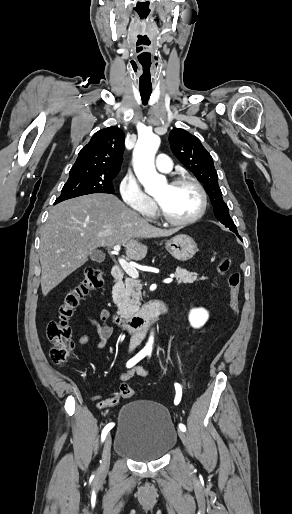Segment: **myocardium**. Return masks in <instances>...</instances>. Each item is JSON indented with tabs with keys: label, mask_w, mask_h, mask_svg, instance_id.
Masks as SVG:
<instances>
[{
	"label": "myocardium",
	"mask_w": 292,
	"mask_h": 514,
	"mask_svg": "<svg viewBox=\"0 0 292 514\" xmlns=\"http://www.w3.org/2000/svg\"><path fill=\"white\" fill-rule=\"evenodd\" d=\"M181 185L192 186L196 190V192L199 196L198 209L192 216H190L186 219L171 218L163 210V208L160 206V204L157 202V210H158L161 218L165 222H167L171 225H175V226H185V225H188V224H191V223L197 221L203 215V213L205 212V209H206V193H205L203 187L201 186V184L197 180H195L193 178H189V177H178V178L174 179L172 182H170L168 186L177 187V186H181Z\"/></svg>",
	"instance_id": "myocardium-1"
}]
</instances>
